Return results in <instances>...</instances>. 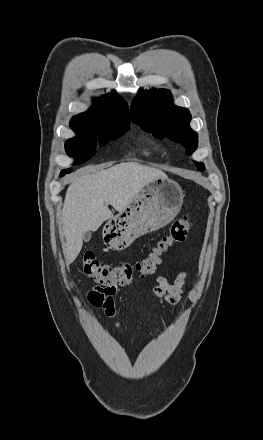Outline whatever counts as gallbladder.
Listing matches in <instances>:
<instances>
[{
  "mask_svg": "<svg viewBox=\"0 0 263 440\" xmlns=\"http://www.w3.org/2000/svg\"><path fill=\"white\" fill-rule=\"evenodd\" d=\"M91 239V233L89 231H86L83 235V241L84 242H89Z\"/></svg>",
  "mask_w": 263,
  "mask_h": 440,
  "instance_id": "1",
  "label": "gallbladder"
}]
</instances>
